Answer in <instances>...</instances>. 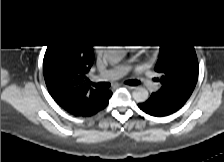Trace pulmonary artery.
Segmentation results:
<instances>
[{
	"label": "pulmonary artery",
	"instance_id": "e3ab8cb5",
	"mask_svg": "<svg viewBox=\"0 0 224 162\" xmlns=\"http://www.w3.org/2000/svg\"><path fill=\"white\" fill-rule=\"evenodd\" d=\"M126 71H127V69L124 67L109 69V70L99 74L96 77V80H102V81L117 80V79H120L121 77H123L126 74ZM138 79H140L144 83H146L147 87L151 86V84L149 83L148 79L145 76H138Z\"/></svg>",
	"mask_w": 224,
	"mask_h": 162
}]
</instances>
